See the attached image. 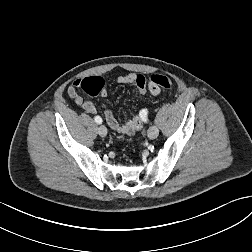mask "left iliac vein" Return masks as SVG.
I'll return each mask as SVG.
<instances>
[{"instance_id": "4c4485c4", "label": "left iliac vein", "mask_w": 252, "mask_h": 252, "mask_svg": "<svg viewBox=\"0 0 252 252\" xmlns=\"http://www.w3.org/2000/svg\"><path fill=\"white\" fill-rule=\"evenodd\" d=\"M159 134V130L156 126H151L148 129L147 136L149 139H155Z\"/></svg>"}]
</instances>
